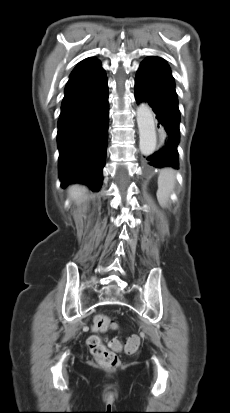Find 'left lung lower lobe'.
I'll use <instances>...</instances> for the list:
<instances>
[{"label":"left lung lower lobe","mask_w":230,"mask_h":413,"mask_svg":"<svg viewBox=\"0 0 230 413\" xmlns=\"http://www.w3.org/2000/svg\"><path fill=\"white\" fill-rule=\"evenodd\" d=\"M135 99L149 103L168 134L164 146L146 158L149 165L178 168L180 111L175 82L163 58L150 56L141 63L135 78Z\"/></svg>","instance_id":"left-lung-lower-lobe-1"}]
</instances>
